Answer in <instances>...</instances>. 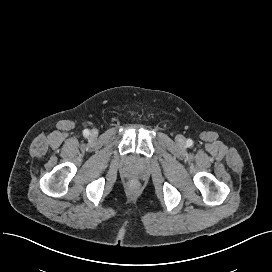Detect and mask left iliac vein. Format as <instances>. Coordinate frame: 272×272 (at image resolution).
Here are the masks:
<instances>
[{
  "mask_svg": "<svg viewBox=\"0 0 272 272\" xmlns=\"http://www.w3.org/2000/svg\"><path fill=\"white\" fill-rule=\"evenodd\" d=\"M177 141H178L179 143L183 144L184 141H185V139H184V137H183L182 135H179V136L177 137Z\"/></svg>",
  "mask_w": 272,
  "mask_h": 272,
  "instance_id": "left-iliac-vein-1",
  "label": "left iliac vein"
}]
</instances>
